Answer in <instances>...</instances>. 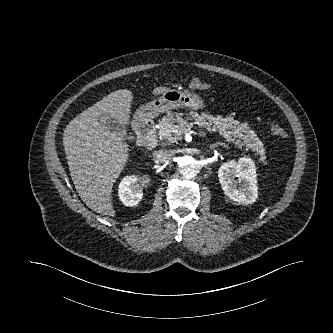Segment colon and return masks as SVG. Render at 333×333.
Returning <instances> with one entry per match:
<instances>
[{
    "instance_id": "1",
    "label": "colon",
    "mask_w": 333,
    "mask_h": 333,
    "mask_svg": "<svg viewBox=\"0 0 333 333\" xmlns=\"http://www.w3.org/2000/svg\"><path fill=\"white\" fill-rule=\"evenodd\" d=\"M187 85L192 90H205L208 87L207 81L199 78H192L191 80L188 81ZM270 129L275 136L282 139L287 138V132L281 126L277 124H272L270 126Z\"/></svg>"
}]
</instances>
